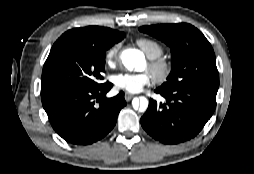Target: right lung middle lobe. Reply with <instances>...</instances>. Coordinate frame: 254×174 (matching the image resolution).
I'll return each instance as SVG.
<instances>
[{"label": "right lung middle lobe", "instance_id": "obj_1", "mask_svg": "<svg viewBox=\"0 0 254 174\" xmlns=\"http://www.w3.org/2000/svg\"><path fill=\"white\" fill-rule=\"evenodd\" d=\"M124 36L123 34L121 39ZM113 44L115 42L97 47L71 37L59 38L52 46L43 67L41 96L99 87V79H103L102 73L105 70V52Z\"/></svg>", "mask_w": 254, "mask_h": 174}]
</instances>
